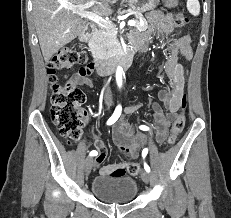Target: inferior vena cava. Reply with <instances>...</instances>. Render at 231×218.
Wrapping results in <instances>:
<instances>
[{
    "mask_svg": "<svg viewBox=\"0 0 231 218\" xmlns=\"http://www.w3.org/2000/svg\"><path fill=\"white\" fill-rule=\"evenodd\" d=\"M105 97L106 99H111L112 95H111V91L110 88L108 87L105 93Z\"/></svg>",
    "mask_w": 231,
    "mask_h": 218,
    "instance_id": "1",
    "label": "inferior vena cava"
}]
</instances>
